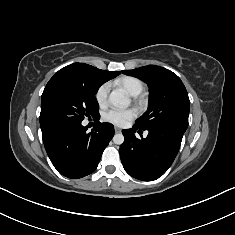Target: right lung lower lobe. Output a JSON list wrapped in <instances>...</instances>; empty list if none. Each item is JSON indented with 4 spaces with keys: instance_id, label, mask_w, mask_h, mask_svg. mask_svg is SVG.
<instances>
[{
    "instance_id": "98d812e1",
    "label": "right lung lower lobe",
    "mask_w": 235,
    "mask_h": 235,
    "mask_svg": "<svg viewBox=\"0 0 235 235\" xmlns=\"http://www.w3.org/2000/svg\"><path fill=\"white\" fill-rule=\"evenodd\" d=\"M40 125L52 164L62 175L72 179L87 176L97 168L103 150L114 135L113 125L99 121L90 133L81 122L53 120Z\"/></svg>"
}]
</instances>
